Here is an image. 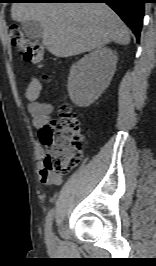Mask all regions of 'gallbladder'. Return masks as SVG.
<instances>
[{
    "label": "gallbladder",
    "mask_w": 156,
    "mask_h": 266,
    "mask_svg": "<svg viewBox=\"0 0 156 266\" xmlns=\"http://www.w3.org/2000/svg\"><path fill=\"white\" fill-rule=\"evenodd\" d=\"M22 30L25 35L33 40H39L43 36V27L37 21H27L22 23Z\"/></svg>",
    "instance_id": "1"
}]
</instances>
